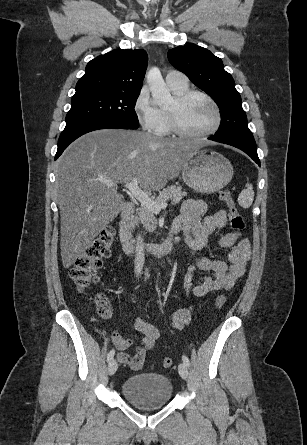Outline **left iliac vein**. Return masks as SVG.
<instances>
[{
    "label": "left iliac vein",
    "instance_id": "4c4485c4",
    "mask_svg": "<svg viewBox=\"0 0 307 445\" xmlns=\"http://www.w3.org/2000/svg\"><path fill=\"white\" fill-rule=\"evenodd\" d=\"M178 371H179L180 376L183 379L186 380L188 378V369H187V366L184 363H180L179 364Z\"/></svg>",
    "mask_w": 307,
    "mask_h": 445
}]
</instances>
